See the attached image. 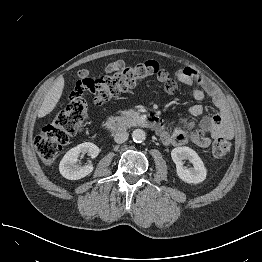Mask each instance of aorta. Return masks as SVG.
Returning a JSON list of instances; mask_svg holds the SVG:
<instances>
[{
  "label": "aorta",
  "mask_w": 262,
  "mask_h": 262,
  "mask_svg": "<svg viewBox=\"0 0 262 262\" xmlns=\"http://www.w3.org/2000/svg\"><path fill=\"white\" fill-rule=\"evenodd\" d=\"M132 138H133V141L136 142V143H141L143 141H145L146 139V133L144 130L142 129H135L133 132H132Z\"/></svg>",
  "instance_id": "obj_1"
}]
</instances>
